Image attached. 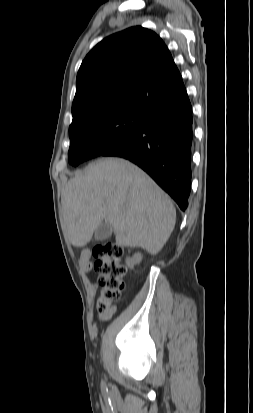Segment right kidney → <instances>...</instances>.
<instances>
[{
  "mask_svg": "<svg viewBox=\"0 0 253 413\" xmlns=\"http://www.w3.org/2000/svg\"><path fill=\"white\" fill-rule=\"evenodd\" d=\"M142 260V255L140 253H136L133 255L132 258L126 259V264L128 267L133 268L134 265L139 264Z\"/></svg>",
  "mask_w": 253,
  "mask_h": 413,
  "instance_id": "ca27d5eb",
  "label": "right kidney"
}]
</instances>
